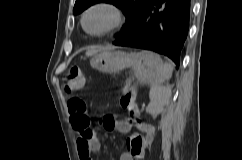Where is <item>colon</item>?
Segmentation results:
<instances>
[{
  "label": "colon",
  "mask_w": 242,
  "mask_h": 160,
  "mask_svg": "<svg viewBox=\"0 0 242 160\" xmlns=\"http://www.w3.org/2000/svg\"><path fill=\"white\" fill-rule=\"evenodd\" d=\"M84 80L81 70L78 67H71L68 69L63 77V89L67 94H71L83 86ZM121 106L128 111L129 117L135 119L137 115V107L135 104V90L129 84H126L121 92L120 97ZM68 109L70 110L74 123L79 128H89L90 119L86 114L85 103L79 98H72L68 102ZM138 121V120H137ZM92 135L90 130L84 133L85 137Z\"/></svg>",
  "instance_id": "obj_1"
}]
</instances>
